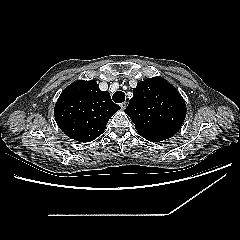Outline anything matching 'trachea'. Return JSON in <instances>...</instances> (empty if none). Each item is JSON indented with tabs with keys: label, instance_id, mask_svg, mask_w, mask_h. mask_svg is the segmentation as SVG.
Returning <instances> with one entry per match:
<instances>
[{
	"label": "trachea",
	"instance_id": "3493384b",
	"mask_svg": "<svg viewBox=\"0 0 240 240\" xmlns=\"http://www.w3.org/2000/svg\"><path fill=\"white\" fill-rule=\"evenodd\" d=\"M126 95L122 91H117L113 94L112 99L116 103H122L125 101Z\"/></svg>",
	"mask_w": 240,
	"mask_h": 240
}]
</instances>
